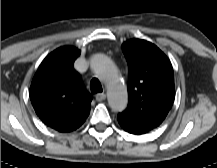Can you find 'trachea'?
I'll use <instances>...</instances> for the list:
<instances>
[{"label":"trachea","instance_id":"1","mask_svg":"<svg viewBox=\"0 0 217 168\" xmlns=\"http://www.w3.org/2000/svg\"><path fill=\"white\" fill-rule=\"evenodd\" d=\"M91 93L96 94L102 92V86L98 79L93 78L90 82Z\"/></svg>","mask_w":217,"mask_h":168}]
</instances>
